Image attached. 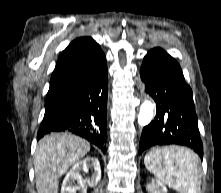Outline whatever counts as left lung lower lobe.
I'll return each mask as SVG.
<instances>
[{"label":"left lung lower lobe","instance_id":"left-lung-lower-lobe-1","mask_svg":"<svg viewBox=\"0 0 221 193\" xmlns=\"http://www.w3.org/2000/svg\"><path fill=\"white\" fill-rule=\"evenodd\" d=\"M146 92L156 102V117L144 127L139 154L158 145H182L193 149L202 159L203 144L197 125L192 90L184 80L180 65L161 48H154L144 57L140 69ZM175 113V126L165 118Z\"/></svg>","mask_w":221,"mask_h":193}]
</instances>
